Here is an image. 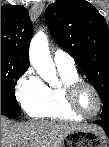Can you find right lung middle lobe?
I'll return each mask as SVG.
<instances>
[{"mask_svg":"<svg viewBox=\"0 0 109 147\" xmlns=\"http://www.w3.org/2000/svg\"><path fill=\"white\" fill-rule=\"evenodd\" d=\"M27 69L28 66L1 54V106L14 116H20V106L15 99V85Z\"/></svg>","mask_w":109,"mask_h":147,"instance_id":"right-lung-middle-lobe-1","label":"right lung middle lobe"}]
</instances>
